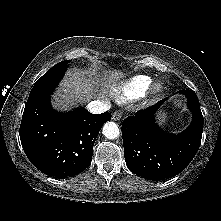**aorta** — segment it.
I'll list each match as a JSON object with an SVG mask.
<instances>
[{
    "mask_svg": "<svg viewBox=\"0 0 221 221\" xmlns=\"http://www.w3.org/2000/svg\"><path fill=\"white\" fill-rule=\"evenodd\" d=\"M103 135L108 139H116L120 135L118 125L112 121L105 123Z\"/></svg>",
    "mask_w": 221,
    "mask_h": 221,
    "instance_id": "1",
    "label": "aorta"
}]
</instances>
